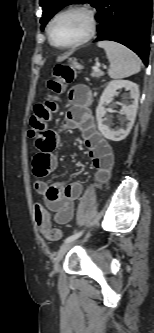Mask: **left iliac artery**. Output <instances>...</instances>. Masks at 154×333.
Listing matches in <instances>:
<instances>
[{
  "instance_id": "44dca946",
  "label": "left iliac artery",
  "mask_w": 154,
  "mask_h": 333,
  "mask_svg": "<svg viewBox=\"0 0 154 333\" xmlns=\"http://www.w3.org/2000/svg\"><path fill=\"white\" fill-rule=\"evenodd\" d=\"M81 234H82V231H80V232H78V233H75V234H73V235L67 237V238L65 239V242L73 241V240L77 239L79 236H81Z\"/></svg>"
}]
</instances>
